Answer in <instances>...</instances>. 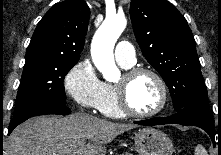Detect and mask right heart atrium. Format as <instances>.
Wrapping results in <instances>:
<instances>
[{
	"instance_id": "obj_1",
	"label": "right heart atrium",
	"mask_w": 221,
	"mask_h": 155,
	"mask_svg": "<svg viewBox=\"0 0 221 155\" xmlns=\"http://www.w3.org/2000/svg\"><path fill=\"white\" fill-rule=\"evenodd\" d=\"M64 87L79 106L98 109L103 97V81L88 59L76 63L65 75Z\"/></svg>"
}]
</instances>
